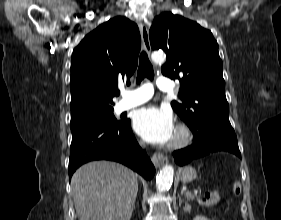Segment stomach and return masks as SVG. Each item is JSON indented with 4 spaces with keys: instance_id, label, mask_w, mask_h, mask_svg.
<instances>
[{
    "instance_id": "0dacf381",
    "label": "stomach",
    "mask_w": 281,
    "mask_h": 220,
    "mask_svg": "<svg viewBox=\"0 0 281 220\" xmlns=\"http://www.w3.org/2000/svg\"><path fill=\"white\" fill-rule=\"evenodd\" d=\"M179 174L183 183L192 182L197 177L196 170L191 166L183 167L182 169H180Z\"/></svg>"
}]
</instances>
